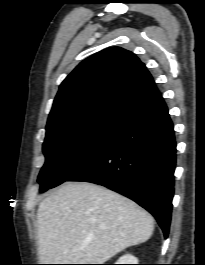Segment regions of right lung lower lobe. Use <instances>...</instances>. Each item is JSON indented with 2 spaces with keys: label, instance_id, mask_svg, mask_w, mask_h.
Instances as JSON below:
<instances>
[{
  "label": "right lung lower lobe",
  "instance_id": "obj_1",
  "mask_svg": "<svg viewBox=\"0 0 205 265\" xmlns=\"http://www.w3.org/2000/svg\"><path fill=\"white\" fill-rule=\"evenodd\" d=\"M176 142L161 97L125 122L110 143L67 181L105 186L137 202L169 233L174 194Z\"/></svg>",
  "mask_w": 205,
  "mask_h": 265
}]
</instances>
